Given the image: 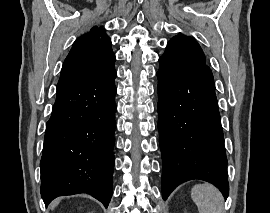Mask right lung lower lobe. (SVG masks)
Returning <instances> with one entry per match:
<instances>
[{
	"label": "right lung lower lobe",
	"mask_w": 270,
	"mask_h": 213,
	"mask_svg": "<svg viewBox=\"0 0 270 213\" xmlns=\"http://www.w3.org/2000/svg\"><path fill=\"white\" fill-rule=\"evenodd\" d=\"M116 72L60 89L46 124L41 196L88 193L108 206L112 197Z\"/></svg>",
	"instance_id": "right-lung-lower-lobe-1"
}]
</instances>
